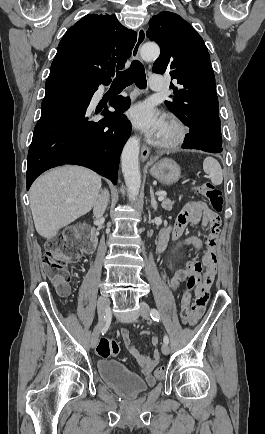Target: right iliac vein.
Returning <instances> with one entry per match:
<instances>
[{
	"mask_svg": "<svg viewBox=\"0 0 265 434\" xmlns=\"http://www.w3.org/2000/svg\"><path fill=\"white\" fill-rule=\"evenodd\" d=\"M110 301L108 297L106 296H100L98 298L97 302V308H98V314H99V321L96 324V326L93 329L92 335H91V346L92 348H96L98 341H99V335L101 330L104 327V316L106 314L107 309L109 308Z\"/></svg>",
	"mask_w": 265,
	"mask_h": 434,
	"instance_id": "right-iliac-vein-1",
	"label": "right iliac vein"
}]
</instances>
